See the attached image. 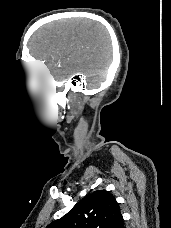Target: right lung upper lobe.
<instances>
[{
  "label": "right lung upper lobe",
  "instance_id": "cb5924a9",
  "mask_svg": "<svg viewBox=\"0 0 171 228\" xmlns=\"http://www.w3.org/2000/svg\"><path fill=\"white\" fill-rule=\"evenodd\" d=\"M46 228H124V223L113 195L106 190H97Z\"/></svg>",
  "mask_w": 171,
  "mask_h": 228
}]
</instances>
